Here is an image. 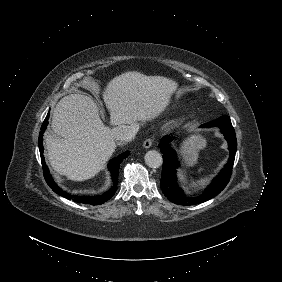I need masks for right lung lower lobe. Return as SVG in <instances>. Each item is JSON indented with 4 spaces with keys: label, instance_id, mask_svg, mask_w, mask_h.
<instances>
[{
    "label": "right lung lower lobe",
    "instance_id": "98d812e1",
    "mask_svg": "<svg viewBox=\"0 0 282 282\" xmlns=\"http://www.w3.org/2000/svg\"><path fill=\"white\" fill-rule=\"evenodd\" d=\"M48 118H49V113L46 117V119L44 120V123L42 124L41 127V131L39 133V150L41 153V162H42V166H43V171H44V178L47 182V184L50 186V188L56 192L58 195L63 196L69 200H73L75 202H79V203H84V204H90V205H100L103 204L104 202L108 201L110 198L113 197L114 193L117 190V185H118V173H119V167L120 164L122 162L123 159H125L126 157H128V155L130 154L129 151H126L122 154H120L119 156L113 158L109 164V170L112 174L113 177V182H114V186L107 192H105L102 195H97V196H73L70 195L66 192H64L62 189H60L56 183L53 181L52 177L49 174V170L48 167L46 166L45 162H44V156L42 155L43 153V146H42V141H43V133L46 129V126L48 125Z\"/></svg>",
    "mask_w": 282,
    "mask_h": 282
}]
</instances>
